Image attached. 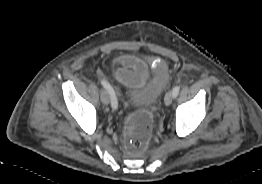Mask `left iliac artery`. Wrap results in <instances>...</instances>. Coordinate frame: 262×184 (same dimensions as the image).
<instances>
[{"instance_id":"obj_1","label":"left iliac artery","mask_w":262,"mask_h":184,"mask_svg":"<svg viewBox=\"0 0 262 184\" xmlns=\"http://www.w3.org/2000/svg\"><path fill=\"white\" fill-rule=\"evenodd\" d=\"M179 91H180V86H175L173 88V95H174V98L177 97V95L179 94Z\"/></svg>"}]
</instances>
